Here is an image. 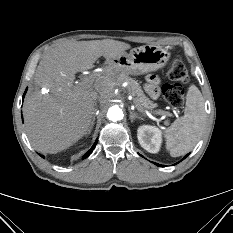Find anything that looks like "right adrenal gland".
<instances>
[{"label": "right adrenal gland", "instance_id": "1", "mask_svg": "<svg viewBox=\"0 0 233 233\" xmlns=\"http://www.w3.org/2000/svg\"><path fill=\"white\" fill-rule=\"evenodd\" d=\"M94 123H95V116H94L93 119H92L91 126H90V128H89V130H88V132H87V135L90 134V132H91L93 126H94Z\"/></svg>", "mask_w": 233, "mask_h": 233}]
</instances>
